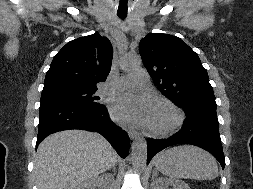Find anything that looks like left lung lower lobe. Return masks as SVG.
<instances>
[{"mask_svg":"<svg viewBox=\"0 0 253 189\" xmlns=\"http://www.w3.org/2000/svg\"><path fill=\"white\" fill-rule=\"evenodd\" d=\"M176 144H192L209 151L225 167V158L219 134L218 119L187 116L181 130L168 139L147 140V164L161 150Z\"/></svg>","mask_w":253,"mask_h":189,"instance_id":"left-lung-lower-lobe-1","label":"left lung lower lobe"}]
</instances>
